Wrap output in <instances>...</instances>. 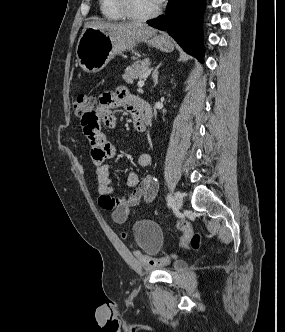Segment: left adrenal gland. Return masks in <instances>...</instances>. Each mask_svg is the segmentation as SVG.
<instances>
[{"mask_svg":"<svg viewBox=\"0 0 285 332\" xmlns=\"http://www.w3.org/2000/svg\"><path fill=\"white\" fill-rule=\"evenodd\" d=\"M160 65H161V64H160ZM160 65H158V66L154 69V71H153V73H152V78H153V81H154V86H156L157 83H158V69H159Z\"/></svg>","mask_w":285,"mask_h":332,"instance_id":"1","label":"left adrenal gland"}]
</instances>
